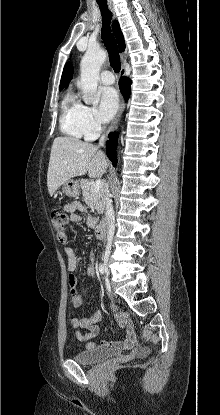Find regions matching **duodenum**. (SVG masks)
<instances>
[{
    "label": "duodenum",
    "instance_id": "1",
    "mask_svg": "<svg viewBox=\"0 0 220 415\" xmlns=\"http://www.w3.org/2000/svg\"><path fill=\"white\" fill-rule=\"evenodd\" d=\"M108 219H103L97 226H96V236L98 239H103L106 234Z\"/></svg>",
    "mask_w": 220,
    "mask_h": 415
}]
</instances>
